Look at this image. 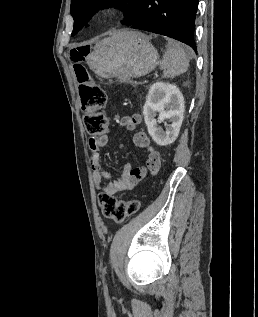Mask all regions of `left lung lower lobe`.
I'll return each mask as SVG.
<instances>
[{
  "label": "left lung lower lobe",
  "mask_w": 258,
  "mask_h": 317,
  "mask_svg": "<svg viewBox=\"0 0 258 317\" xmlns=\"http://www.w3.org/2000/svg\"><path fill=\"white\" fill-rule=\"evenodd\" d=\"M198 0H142L127 24L179 40L197 52L194 41Z\"/></svg>",
  "instance_id": "left-lung-lower-lobe-1"
}]
</instances>
